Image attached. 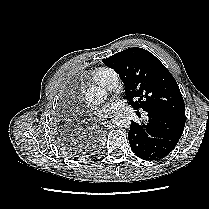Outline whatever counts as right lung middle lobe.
Listing matches in <instances>:
<instances>
[{"instance_id":"right-lung-middle-lobe-1","label":"right lung middle lobe","mask_w":209,"mask_h":209,"mask_svg":"<svg viewBox=\"0 0 209 209\" xmlns=\"http://www.w3.org/2000/svg\"><path fill=\"white\" fill-rule=\"evenodd\" d=\"M60 147L63 149L64 152H66L69 156L75 157L81 154V152H75L74 149L70 148V146L66 144H61ZM74 150V151H73Z\"/></svg>"}]
</instances>
